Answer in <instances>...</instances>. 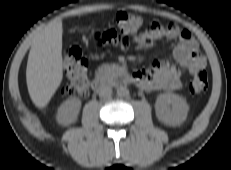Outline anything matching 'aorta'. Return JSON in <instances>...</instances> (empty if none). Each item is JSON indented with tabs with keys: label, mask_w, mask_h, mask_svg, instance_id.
Returning a JSON list of instances; mask_svg holds the SVG:
<instances>
[{
	"label": "aorta",
	"mask_w": 231,
	"mask_h": 170,
	"mask_svg": "<svg viewBox=\"0 0 231 170\" xmlns=\"http://www.w3.org/2000/svg\"><path fill=\"white\" fill-rule=\"evenodd\" d=\"M117 95L120 96V97H127L129 95V90L127 87L125 86H120L118 89H117Z\"/></svg>",
	"instance_id": "762f6f07"
}]
</instances>
